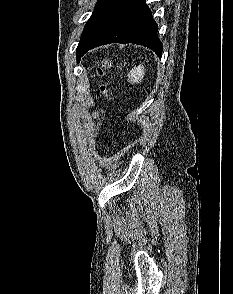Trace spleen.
<instances>
[{"label": "spleen", "instance_id": "obj_1", "mask_svg": "<svg viewBox=\"0 0 233 294\" xmlns=\"http://www.w3.org/2000/svg\"><path fill=\"white\" fill-rule=\"evenodd\" d=\"M128 81L132 84L141 83L145 76V68L141 64L132 68L128 73Z\"/></svg>", "mask_w": 233, "mask_h": 294}]
</instances>
